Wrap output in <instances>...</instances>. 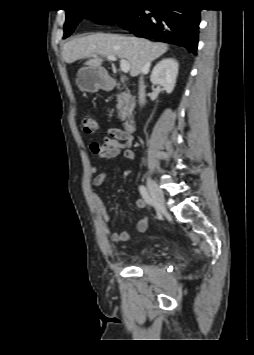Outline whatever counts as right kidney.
<instances>
[{"label":"right kidney","mask_w":254,"mask_h":355,"mask_svg":"<svg viewBox=\"0 0 254 355\" xmlns=\"http://www.w3.org/2000/svg\"><path fill=\"white\" fill-rule=\"evenodd\" d=\"M179 64L174 58H165L154 67L150 80L155 85H160L167 93H171L175 87Z\"/></svg>","instance_id":"1"}]
</instances>
